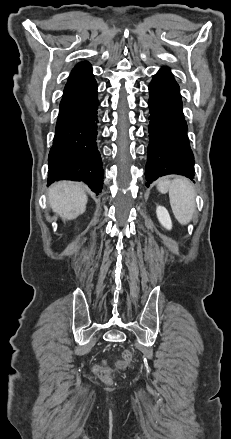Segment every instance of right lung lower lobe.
Wrapping results in <instances>:
<instances>
[{
    "mask_svg": "<svg viewBox=\"0 0 231 439\" xmlns=\"http://www.w3.org/2000/svg\"><path fill=\"white\" fill-rule=\"evenodd\" d=\"M98 106L93 76L64 90L48 157V183L84 181L97 195L101 192L103 168L96 142Z\"/></svg>",
    "mask_w": 231,
    "mask_h": 439,
    "instance_id": "98d812e1",
    "label": "right lung lower lobe"
}]
</instances>
